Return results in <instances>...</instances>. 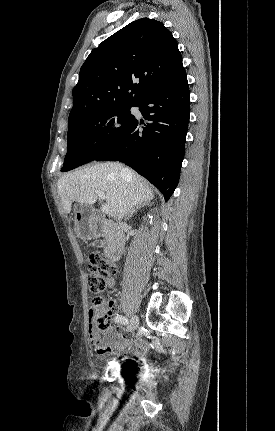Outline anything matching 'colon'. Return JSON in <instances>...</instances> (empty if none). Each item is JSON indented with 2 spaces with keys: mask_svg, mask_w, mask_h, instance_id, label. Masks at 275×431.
Returning <instances> with one entry per match:
<instances>
[{
  "mask_svg": "<svg viewBox=\"0 0 275 431\" xmlns=\"http://www.w3.org/2000/svg\"><path fill=\"white\" fill-rule=\"evenodd\" d=\"M116 273V266L98 253H94L89 258V269L87 283L95 306L94 324L102 331L110 325V314L114 307V302H107L101 293L104 291L109 277Z\"/></svg>",
  "mask_w": 275,
  "mask_h": 431,
  "instance_id": "obj_1",
  "label": "colon"
}]
</instances>
